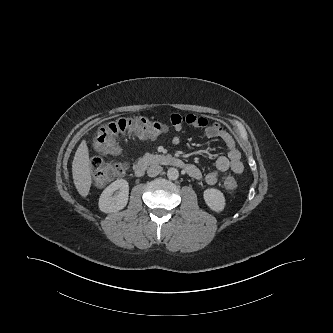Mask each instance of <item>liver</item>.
I'll return each mask as SVG.
<instances>
[{
  "label": "liver",
  "instance_id": "obj_1",
  "mask_svg": "<svg viewBox=\"0 0 333 333\" xmlns=\"http://www.w3.org/2000/svg\"><path fill=\"white\" fill-rule=\"evenodd\" d=\"M72 175L75 187L82 197L89 194L92 177L91 161L86 140H83L75 152L72 162Z\"/></svg>",
  "mask_w": 333,
  "mask_h": 333
}]
</instances>
